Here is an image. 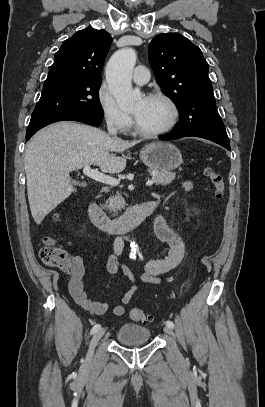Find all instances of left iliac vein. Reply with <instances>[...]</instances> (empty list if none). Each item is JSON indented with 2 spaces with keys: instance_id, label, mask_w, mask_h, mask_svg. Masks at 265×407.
Segmentation results:
<instances>
[{
  "instance_id": "left-iliac-vein-1",
  "label": "left iliac vein",
  "mask_w": 265,
  "mask_h": 407,
  "mask_svg": "<svg viewBox=\"0 0 265 407\" xmlns=\"http://www.w3.org/2000/svg\"><path fill=\"white\" fill-rule=\"evenodd\" d=\"M164 332L167 333V334H169V335L174 336L173 330H172V328L169 327V326H165V327H164Z\"/></svg>"
}]
</instances>
